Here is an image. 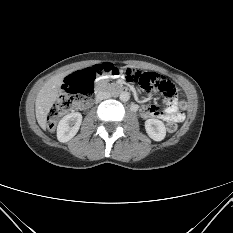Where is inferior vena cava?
<instances>
[{"mask_svg":"<svg viewBox=\"0 0 233 233\" xmlns=\"http://www.w3.org/2000/svg\"><path fill=\"white\" fill-rule=\"evenodd\" d=\"M110 98V94L108 93H98L96 94V102L102 101L104 99Z\"/></svg>","mask_w":233,"mask_h":233,"instance_id":"602c4592","label":"inferior vena cava"}]
</instances>
